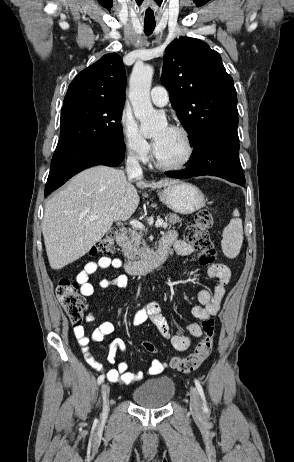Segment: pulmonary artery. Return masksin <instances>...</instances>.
<instances>
[{
  "instance_id": "1",
  "label": "pulmonary artery",
  "mask_w": 294,
  "mask_h": 462,
  "mask_svg": "<svg viewBox=\"0 0 294 462\" xmlns=\"http://www.w3.org/2000/svg\"><path fill=\"white\" fill-rule=\"evenodd\" d=\"M150 98L152 102L160 107H163L169 102L168 91L163 86H155L150 91Z\"/></svg>"
}]
</instances>
